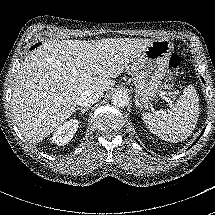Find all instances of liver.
<instances>
[{
	"mask_svg": "<svg viewBox=\"0 0 215 215\" xmlns=\"http://www.w3.org/2000/svg\"><path fill=\"white\" fill-rule=\"evenodd\" d=\"M150 38L54 40L27 54L12 90L16 126L32 144L42 142L76 110L81 92H107L150 45Z\"/></svg>",
	"mask_w": 215,
	"mask_h": 215,
	"instance_id": "6515ba94",
	"label": "liver"
}]
</instances>
